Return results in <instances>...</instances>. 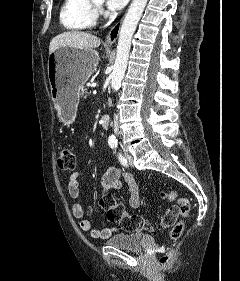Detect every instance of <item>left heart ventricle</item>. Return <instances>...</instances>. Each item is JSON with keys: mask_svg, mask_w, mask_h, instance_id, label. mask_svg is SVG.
<instances>
[{"mask_svg": "<svg viewBox=\"0 0 240 281\" xmlns=\"http://www.w3.org/2000/svg\"><path fill=\"white\" fill-rule=\"evenodd\" d=\"M97 2H98V3H102V2H103V0H97Z\"/></svg>", "mask_w": 240, "mask_h": 281, "instance_id": "b2bd125f", "label": "left heart ventricle"}]
</instances>
